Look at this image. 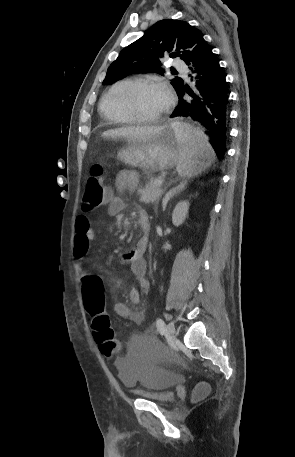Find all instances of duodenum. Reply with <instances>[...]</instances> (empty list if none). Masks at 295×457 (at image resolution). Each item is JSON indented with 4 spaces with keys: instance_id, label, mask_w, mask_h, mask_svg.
I'll use <instances>...</instances> for the list:
<instances>
[{
    "instance_id": "duodenum-1",
    "label": "duodenum",
    "mask_w": 295,
    "mask_h": 457,
    "mask_svg": "<svg viewBox=\"0 0 295 457\" xmlns=\"http://www.w3.org/2000/svg\"><path fill=\"white\" fill-rule=\"evenodd\" d=\"M141 228H142L144 233H147L149 231V227L144 222L142 223V227Z\"/></svg>"
}]
</instances>
